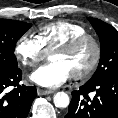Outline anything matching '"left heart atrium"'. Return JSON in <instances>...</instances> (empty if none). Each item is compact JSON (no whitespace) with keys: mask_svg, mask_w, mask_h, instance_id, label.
Masks as SVG:
<instances>
[{"mask_svg":"<svg viewBox=\"0 0 118 118\" xmlns=\"http://www.w3.org/2000/svg\"><path fill=\"white\" fill-rule=\"evenodd\" d=\"M70 77L66 67L57 62L41 66L31 74V80L38 85L48 88L59 87Z\"/></svg>","mask_w":118,"mask_h":118,"instance_id":"39dd6f15","label":"left heart atrium"}]
</instances>
